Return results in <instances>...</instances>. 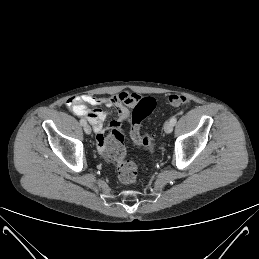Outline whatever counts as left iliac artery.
Listing matches in <instances>:
<instances>
[{
  "label": "left iliac artery",
  "mask_w": 259,
  "mask_h": 259,
  "mask_svg": "<svg viewBox=\"0 0 259 259\" xmlns=\"http://www.w3.org/2000/svg\"><path fill=\"white\" fill-rule=\"evenodd\" d=\"M170 122L175 125L176 122H177V118L175 116H173L171 119H170Z\"/></svg>",
  "instance_id": "1"
}]
</instances>
